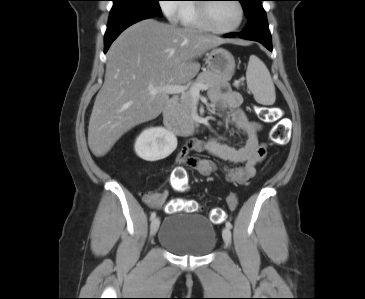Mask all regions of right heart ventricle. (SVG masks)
I'll list each match as a JSON object with an SVG mask.
<instances>
[{
	"mask_svg": "<svg viewBox=\"0 0 365 299\" xmlns=\"http://www.w3.org/2000/svg\"><path fill=\"white\" fill-rule=\"evenodd\" d=\"M182 7L183 12L180 18L182 25L196 29H205L200 21L198 5L184 4Z\"/></svg>",
	"mask_w": 365,
	"mask_h": 299,
	"instance_id": "obj_1",
	"label": "right heart ventricle"
}]
</instances>
